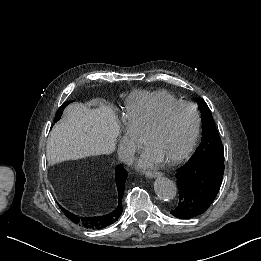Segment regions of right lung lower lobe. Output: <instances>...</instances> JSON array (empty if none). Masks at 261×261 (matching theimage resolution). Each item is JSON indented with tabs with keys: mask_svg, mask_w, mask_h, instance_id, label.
I'll use <instances>...</instances> for the list:
<instances>
[{
	"mask_svg": "<svg viewBox=\"0 0 261 261\" xmlns=\"http://www.w3.org/2000/svg\"><path fill=\"white\" fill-rule=\"evenodd\" d=\"M128 173L125 171L122 165H117L115 170V181L119 194V204L118 207L111 213L104 216H96V217H82L75 215L68 210L61 208L63 213L75 224L85 227L87 229H95L100 230L111 224L115 223L120 215L122 214V198L124 193V184L127 179Z\"/></svg>",
	"mask_w": 261,
	"mask_h": 261,
	"instance_id": "right-lung-lower-lobe-1",
	"label": "right lung lower lobe"
}]
</instances>
